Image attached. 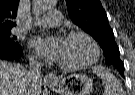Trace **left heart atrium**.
Instances as JSON below:
<instances>
[{"label":"left heart atrium","mask_w":135,"mask_h":95,"mask_svg":"<svg viewBox=\"0 0 135 95\" xmlns=\"http://www.w3.org/2000/svg\"><path fill=\"white\" fill-rule=\"evenodd\" d=\"M65 38L60 36H38L32 40V46L35 50L42 56L53 60L59 61L63 48H64Z\"/></svg>","instance_id":"left-heart-atrium-1"}]
</instances>
